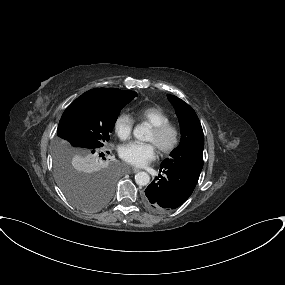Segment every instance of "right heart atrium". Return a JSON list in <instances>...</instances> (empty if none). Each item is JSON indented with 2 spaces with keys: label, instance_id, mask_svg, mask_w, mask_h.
I'll return each mask as SVG.
<instances>
[{
  "label": "right heart atrium",
  "instance_id": "d8ad5b80",
  "mask_svg": "<svg viewBox=\"0 0 285 285\" xmlns=\"http://www.w3.org/2000/svg\"><path fill=\"white\" fill-rule=\"evenodd\" d=\"M134 121L128 114H120L116 117L113 123V128L117 136L126 140L130 137L133 130Z\"/></svg>",
  "mask_w": 285,
  "mask_h": 285
}]
</instances>
